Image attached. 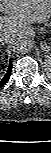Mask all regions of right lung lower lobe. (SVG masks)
Returning a JSON list of instances; mask_svg holds the SVG:
<instances>
[{"label":"right lung lower lobe","instance_id":"right-lung-lower-lobe-1","mask_svg":"<svg viewBox=\"0 0 51 153\" xmlns=\"http://www.w3.org/2000/svg\"><path fill=\"white\" fill-rule=\"evenodd\" d=\"M12 71V62H10L9 68L5 76L0 80V88L8 81Z\"/></svg>","mask_w":51,"mask_h":153}]
</instances>
